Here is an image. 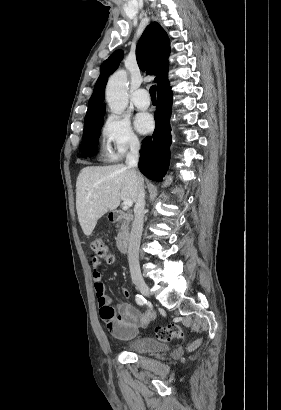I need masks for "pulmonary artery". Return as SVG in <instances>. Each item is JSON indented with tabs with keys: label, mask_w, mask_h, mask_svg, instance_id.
Segmentation results:
<instances>
[{
	"label": "pulmonary artery",
	"mask_w": 281,
	"mask_h": 410,
	"mask_svg": "<svg viewBox=\"0 0 281 410\" xmlns=\"http://www.w3.org/2000/svg\"><path fill=\"white\" fill-rule=\"evenodd\" d=\"M132 101L134 105L141 110L147 109L150 106V98L145 89L137 90L133 95Z\"/></svg>",
	"instance_id": "pulmonary-artery-1"
}]
</instances>
